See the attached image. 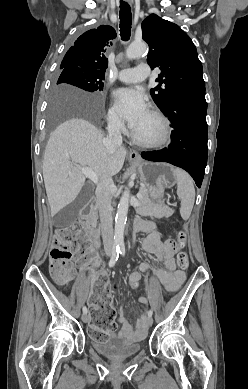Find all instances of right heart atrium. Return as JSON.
<instances>
[{
	"instance_id": "obj_1",
	"label": "right heart atrium",
	"mask_w": 248,
	"mask_h": 389,
	"mask_svg": "<svg viewBox=\"0 0 248 389\" xmlns=\"http://www.w3.org/2000/svg\"><path fill=\"white\" fill-rule=\"evenodd\" d=\"M107 121H108V125L111 129L116 130V131L122 130L123 121H122V118H121L118 110L114 106H111L108 110Z\"/></svg>"
}]
</instances>
